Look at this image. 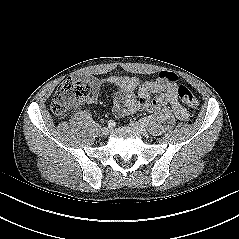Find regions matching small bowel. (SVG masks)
I'll return each mask as SVG.
<instances>
[{"label": "small bowel", "instance_id": "small-bowel-1", "mask_svg": "<svg viewBox=\"0 0 239 239\" xmlns=\"http://www.w3.org/2000/svg\"><path fill=\"white\" fill-rule=\"evenodd\" d=\"M81 79L91 89L88 104L97 102L104 85H111L115 88L112 101L113 113L116 117L142 111L153 112L161 107L169 106L178 119L189 120L188 111L179 103L177 84L167 81L160 74L155 80L143 83L133 76H110L100 79L86 75Z\"/></svg>", "mask_w": 239, "mask_h": 239}]
</instances>
